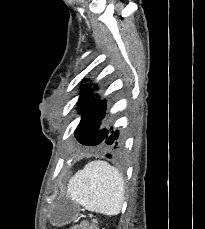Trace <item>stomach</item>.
Wrapping results in <instances>:
<instances>
[{"instance_id":"obj_1","label":"stomach","mask_w":205,"mask_h":229,"mask_svg":"<svg viewBox=\"0 0 205 229\" xmlns=\"http://www.w3.org/2000/svg\"><path fill=\"white\" fill-rule=\"evenodd\" d=\"M74 217L72 206L66 204H58L54 207L50 214V221L53 225L63 226L69 223Z\"/></svg>"}]
</instances>
